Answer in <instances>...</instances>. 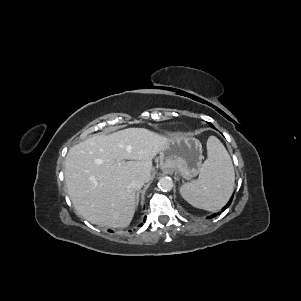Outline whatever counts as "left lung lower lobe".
<instances>
[{"mask_svg": "<svg viewBox=\"0 0 301 301\" xmlns=\"http://www.w3.org/2000/svg\"><path fill=\"white\" fill-rule=\"evenodd\" d=\"M232 199H233V197H231V199L229 200V202L222 208V211H225L228 207H229V205L231 204V202H232ZM217 214H213L212 216H210L209 218H213V217H215Z\"/></svg>", "mask_w": 301, "mask_h": 301, "instance_id": "1", "label": "left lung lower lobe"}]
</instances>
